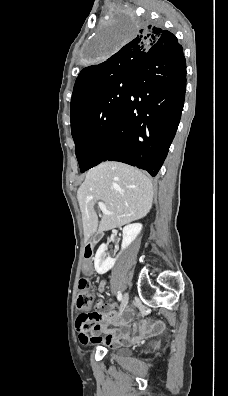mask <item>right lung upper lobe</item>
<instances>
[{
	"instance_id": "1",
	"label": "right lung upper lobe",
	"mask_w": 228,
	"mask_h": 396,
	"mask_svg": "<svg viewBox=\"0 0 228 396\" xmlns=\"http://www.w3.org/2000/svg\"><path fill=\"white\" fill-rule=\"evenodd\" d=\"M177 44V38L169 31L151 25L145 26L116 53L97 65L84 68L74 85L70 106L71 119L112 82L132 77L146 55L156 50H170Z\"/></svg>"
}]
</instances>
